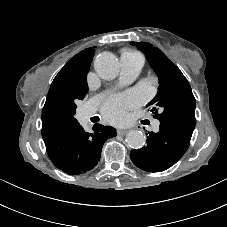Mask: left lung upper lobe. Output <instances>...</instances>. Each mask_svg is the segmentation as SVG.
<instances>
[{
    "label": "left lung upper lobe",
    "mask_w": 227,
    "mask_h": 227,
    "mask_svg": "<svg viewBox=\"0 0 227 227\" xmlns=\"http://www.w3.org/2000/svg\"><path fill=\"white\" fill-rule=\"evenodd\" d=\"M132 44L144 52L159 79L157 95L147 104L154 117L159 121L176 120L195 126L196 101L180 69L152 44L148 42Z\"/></svg>",
    "instance_id": "5c2ea615"
}]
</instances>
